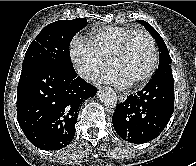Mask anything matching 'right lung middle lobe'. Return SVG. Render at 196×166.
I'll list each match as a JSON object with an SVG mask.
<instances>
[{
	"label": "right lung middle lobe",
	"instance_id": "1",
	"mask_svg": "<svg viewBox=\"0 0 196 166\" xmlns=\"http://www.w3.org/2000/svg\"><path fill=\"white\" fill-rule=\"evenodd\" d=\"M86 25L85 18L60 20L47 25L28 47L22 69L37 64L74 69L69 57L70 42Z\"/></svg>",
	"mask_w": 196,
	"mask_h": 166
}]
</instances>
